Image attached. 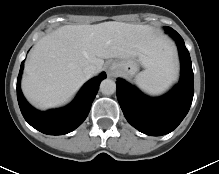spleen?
<instances>
[{
    "instance_id": "obj_1",
    "label": "spleen",
    "mask_w": 219,
    "mask_h": 174,
    "mask_svg": "<svg viewBox=\"0 0 219 174\" xmlns=\"http://www.w3.org/2000/svg\"><path fill=\"white\" fill-rule=\"evenodd\" d=\"M177 77V69L167 51L161 61L140 72L135 77V83L146 94L158 96L166 92Z\"/></svg>"
}]
</instances>
